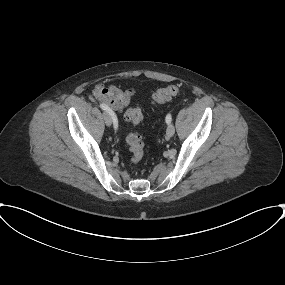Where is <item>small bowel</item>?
<instances>
[{"label":"small bowel","mask_w":285,"mask_h":285,"mask_svg":"<svg viewBox=\"0 0 285 285\" xmlns=\"http://www.w3.org/2000/svg\"><path fill=\"white\" fill-rule=\"evenodd\" d=\"M134 93L133 88L121 89L113 84H97L92 90L95 99L115 112L122 111L129 104Z\"/></svg>","instance_id":"small-bowel-1"}]
</instances>
